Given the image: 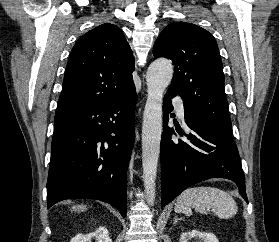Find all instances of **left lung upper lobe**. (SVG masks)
I'll list each match as a JSON object with an SVG mask.
<instances>
[{"label": "left lung upper lobe", "mask_w": 279, "mask_h": 242, "mask_svg": "<svg viewBox=\"0 0 279 242\" xmlns=\"http://www.w3.org/2000/svg\"><path fill=\"white\" fill-rule=\"evenodd\" d=\"M153 55L173 61L168 91L181 96L185 115L232 135L223 66L214 37L194 24L171 23L157 38Z\"/></svg>", "instance_id": "5c2ea615"}]
</instances>
